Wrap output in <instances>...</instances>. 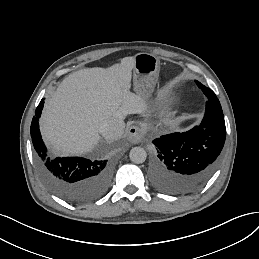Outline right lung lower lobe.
I'll return each mask as SVG.
<instances>
[{
  "label": "right lung lower lobe",
  "mask_w": 259,
  "mask_h": 259,
  "mask_svg": "<svg viewBox=\"0 0 259 259\" xmlns=\"http://www.w3.org/2000/svg\"><path fill=\"white\" fill-rule=\"evenodd\" d=\"M43 104L44 99L35 110L30 130L42 179L56 194L71 203H86L101 197L107 192L111 179V167L108 160L49 157L41 139L38 122Z\"/></svg>",
  "instance_id": "1"
}]
</instances>
